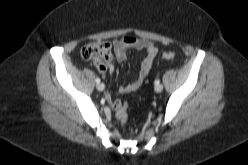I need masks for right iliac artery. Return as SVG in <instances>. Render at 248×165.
<instances>
[{"label": "right iliac artery", "mask_w": 248, "mask_h": 165, "mask_svg": "<svg viewBox=\"0 0 248 165\" xmlns=\"http://www.w3.org/2000/svg\"><path fill=\"white\" fill-rule=\"evenodd\" d=\"M96 83H100V79L99 78H96Z\"/></svg>", "instance_id": "obj_1"}]
</instances>
